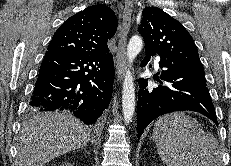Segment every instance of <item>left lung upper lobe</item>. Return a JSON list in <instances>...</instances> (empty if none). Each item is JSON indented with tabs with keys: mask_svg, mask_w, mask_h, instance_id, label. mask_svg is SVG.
<instances>
[{
	"mask_svg": "<svg viewBox=\"0 0 231 166\" xmlns=\"http://www.w3.org/2000/svg\"><path fill=\"white\" fill-rule=\"evenodd\" d=\"M138 32L145 49L174 63L202 65L197 47L186 28L162 9L145 8Z\"/></svg>",
	"mask_w": 231,
	"mask_h": 166,
	"instance_id": "left-lung-upper-lobe-1",
	"label": "left lung upper lobe"
}]
</instances>
